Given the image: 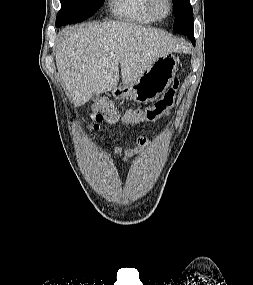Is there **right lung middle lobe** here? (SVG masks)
Segmentation results:
<instances>
[{
  "instance_id": "1",
  "label": "right lung middle lobe",
  "mask_w": 253,
  "mask_h": 285,
  "mask_svg": "<svg viewBox=\"0 0 253 285\" xmlns=\"http://www.w3.org/2000/svg\"><path fill=\"white\" fill-rule=\"evenodd\" d=\"M61 9L58 12L56 23L60 26L68 23L81 22L91 17L104 0H60Z\"/></svg>"
}]
</instances>
